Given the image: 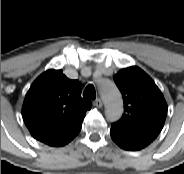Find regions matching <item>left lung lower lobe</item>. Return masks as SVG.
Here are the masks:
<instances>
[{"label": "left lung lower lobe", "mask_w": 184, "mask_h": 174, "mask_svg": "<svg viewBox=\"0 0 184 174\" xmlns=\"http://www.w3.org/2000/svg\"><path fill=\"white\" fill-rule=\"evenodd\" d=\"M113 141L122 149L136 151L149 145L154 139L132 134L114 125L110 130Z\"/></svg>", "instance_id": "obj_1"}]
</instances>
